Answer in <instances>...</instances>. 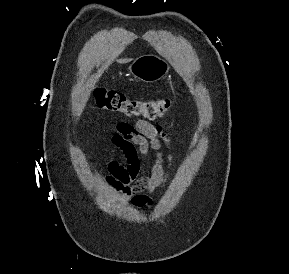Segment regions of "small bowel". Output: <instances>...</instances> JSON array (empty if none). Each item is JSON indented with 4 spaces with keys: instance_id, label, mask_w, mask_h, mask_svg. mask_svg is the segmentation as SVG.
Listing matches in <instances>:
<instances>
[{
    "instance_id": "small-bowel-1",
    "label": "small bowel",
    "mask_w": 289,
    "mask_h": 274,
    "mask_svg": "<svg viewBox=\"0 0 289 274\" xmlns=\"http://www.w3.org/2000/svg\"><path fill=\"white\" fill-rule=\"evenodd\" d=\"M111 142L122 152L125 163L110 159L105 183L120 192L124 203L134 209L152 206V195L165 186L174 159L168 133L160 125L139 119L134 124L120 122ZM151 154V170L140 176L141 157L147 158Z\"/></svg>"
}]
</instances>
